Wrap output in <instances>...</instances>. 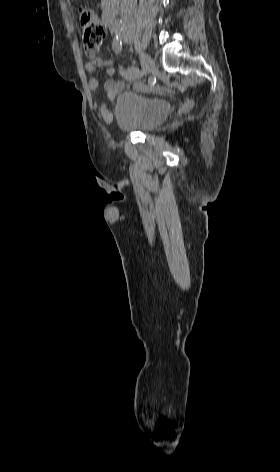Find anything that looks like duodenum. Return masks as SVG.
Returning <instances> with one entry per match:
<instances>
[{"mask_svg": "<svg viewBox=\"0 0 280 472\" xmlns=\"http://www.w3.org/2000/svg\"><path fill=\"white\" fill-rule=\"evenodd\" d=\"M120 0H110L103 14V21L107 27H113L119 11Z\"/></svg>", "mask_w": 280, "mask_h": 472, "instance_id": "duodenum-1", "label": "duodenum"}]
</instances>
